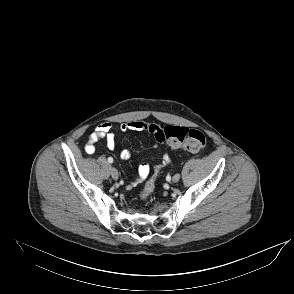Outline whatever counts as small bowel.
Masks as SVG:
<instances>
[{
  "label": "small bowel",
  "instance_id": "1",
  "mask_svg": "<svg viewBox=\"0 0 294 294\" xmlns=\"http://www.w3.org/2000/svg\"><path fill=\"white\" fill-rule=\"evenodd\" d=\"M148 124L142 121H129L124 122L120 125V130L122 132L129 131H144L148 130ZM100 140H105L107 147L110 150L115 149L116 147V135L113 132V126L109 122H104L99 124L95 130L89 135L88 142L85 145V151L88 154H93L96 150V143ZM119 156L121 159H128L130 157V151L126 148H122L119 151ZM169 162V157L164 155L161 161L162 165H166ZM150 172V166L146 163H143L138 168V177H136L129 187L139 184L144 180Z\"/></svg>",
  "mask_w": 294,
  "mask_h": 294
}]
</instances>
